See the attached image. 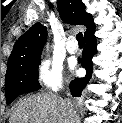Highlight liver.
<instances>
[{
    "instance_id": "obj_1",
    "label": "liver",
    "mask_w": 122,
    "mask_h": 123,
    "mask_svg": "<svg viewBox=\"0 0 122 123\" xmlns=\"http://www.w3.org/2000/svg\"><path fill=\"white\" fill-rule=\"evenodd\" d=\"M78 115L70 113L65 100L51 92L25 97L16 104L9 123H78Z\"/></svg>"
}]
</instances>
